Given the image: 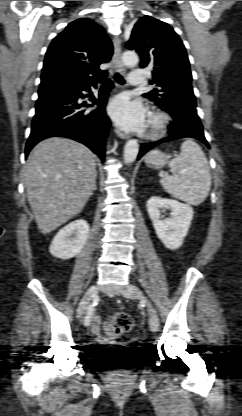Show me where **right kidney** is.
Wrapping results in <instances>:
<instances>
[{
	"instance_id": "1",
	"label": "right kidney",
	"mask_w": 242,
	"mask_h": 416,
	"mask_svg": "<svg viewBox=\"0 0 242 416\" xmlns=\"http://www.w3.org/2000/svg\"><path fill=\"white\" fill-rule=\"evenodd\" d=\"M89 224L83 219L75 220L62 228L50 245V253L60 259L78 255L89 237Z\"/></svg>"
}]
</instances>
